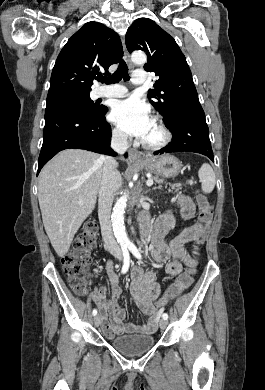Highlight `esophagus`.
Returning a JSON list of instances; mask_svg holds the SVG:
<instances>
[{
  "label": "esophagus",
  "mask_w": 265,
  "mask_h": 390,
  "mask_svg": "<svg viewBox=\"0 0 265 390\" xmlns=\"http://www.w3.org/2000/svg\"><path fill=\"white\" fill-rule=\"evenodd\" d=\"M123 50H124V60L127 62L130 68H133V65L130 60V54L126 49V46L123 42ZM129 159L134 162H141L143 160L141 153L136 149L129 150Z\"/></svg>",
  "instance_id": "34e87169"
}]
</instances>
